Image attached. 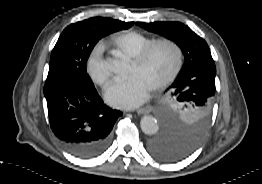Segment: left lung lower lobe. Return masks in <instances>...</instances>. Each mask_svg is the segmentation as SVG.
<instances>
[{"label":"left lung lower lobe","instance_id":"1","mask_svg":"<svg viewBox=\"0 0 262 184\" xmlns=\"http://www.w3.org/2000/svg\"><path fill=\"white\" fill-rule=\"evenodd\" d=\"M214 63V61H213ZM149 153L163 162H177L188 157L197 148L170 138L165 132L148 143Z\"/></svg>","mask_w":262,"mask_h":184}]
</instances>
